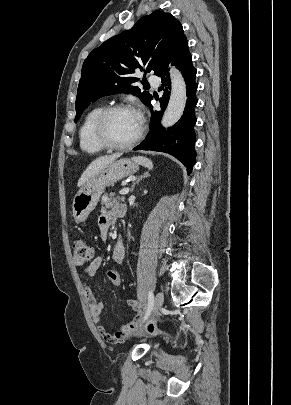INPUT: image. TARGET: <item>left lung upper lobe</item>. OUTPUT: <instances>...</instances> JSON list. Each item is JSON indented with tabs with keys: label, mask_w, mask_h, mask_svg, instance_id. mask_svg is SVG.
<instances>
[{
	"label": "left lung upper lobe",
	"mask_w": 291,
	"mask_h": 405,
	"mask_svg": "<svg viewBox=\"0 0 291 405\" xmlns=\"http://www.w3.org/2000/svg\"><path fill=\"white\" fill-rule=\"evenodd\" d=\"M184 38L177 19L170 13L154 11L140 18L131 30L94 49L83 63L75 122L92 102L110 94L132 93L148 105L152 95L134 85L140 81L134 76L135 69L145 68V73L154 71L157 75Z\"/></svg>",
	"instance_id": "1"
}]
</instances>
